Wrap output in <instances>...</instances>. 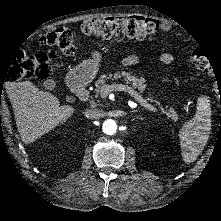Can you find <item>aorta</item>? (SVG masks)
Returning a JSON list of instances; mask_svg holds the SVG:
<instances>
[{"mask_svg": "<svg viewBox=\"0 0 221 221\" xmlns=\"http://www.w3.org/2000/svg\"><path fill=\"white\" fill-rule=\"evenodd\" d=\"M117 125L112 119H107L102 124V130L105 134L112 135L116 132Z\"/></svg>", "mask_w": 221, "mask_h": 221, "instance_id": "762f6f07", "label": "aorta"}]
</instances>
